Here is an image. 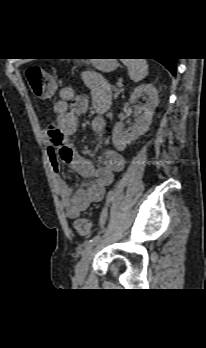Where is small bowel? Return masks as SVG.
<instances>
[{
  "label": "small bowel",
  "instance_id": "c3829d8e",
  "mask_svg": "<svg viewBox=\"0 0 206 348\" xmlns=\"http://www.w3.org/2000/svg\"><path fill=\"white\" fill-rule=\"evenodd\" d=\"M84 85L90 90L88 96L80 94L74 85H65L59 91V99L54 103L56 115L46 128V149L50 167L56 177V188L60 195L68 219H76L91 204L104 198L105 189L113 181L116 172L124 168V157L116 150H107L103 155V165L94 169L91 163L79 156L69 137L78 129L77 117L86 113L91 102L97 116L91 121V130L102 136L106 131V121L101 115L110 106L111 86L99 73L85 71L81 74ZM61 163L71 166L77 173L92 176L93 181L73 192L61 177Z\"/></svg>",
  "mask_w": 206,
  "mask_h": 348
}]
</instances>
